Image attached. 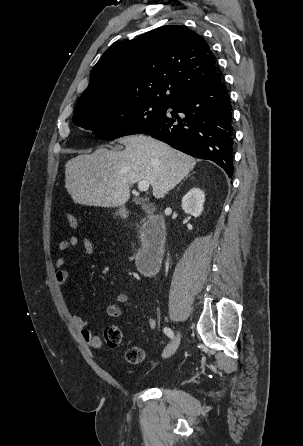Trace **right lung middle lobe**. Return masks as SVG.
Returning a JSON list of instances; mask_svg holds the SVG:
<instances>
[{
	"mask_svg": "<svg viewBox=\"0 0 303 446\" xmlns=\"http://www.w3.org/2000/svg\"><path fill=\"white\" fill-rule=\"evenodd\" d=\"M170 105L139 100L111 104L74 114L73 123L105 140L139 134L163 117Z\"/></svg>",
	"mask_w": 303,
	"mask_h": 446,
	"instance_id": "right-lung-middle-lobe-1",
	"label": "right lung middle lobe"
}]
</instances>
